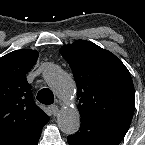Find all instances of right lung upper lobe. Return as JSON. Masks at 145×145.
<instances>
[{"instance_id": "right-lung-upper-lobe-1", "label": "right lung upper lobe", "mask_w": 145, "mask_h": 145, "mask_svg": "<svg viewBox=\"0 0 145 145\" xmlns=\"http://www.w3.org/2000/svg\"><path fill=\"white\" fill-rule=\"evenodd\" d=\"M39 53L16 50L0 58V145H15L49 121L34 102L26 74Z\"/></svg>"}]
</instances>
